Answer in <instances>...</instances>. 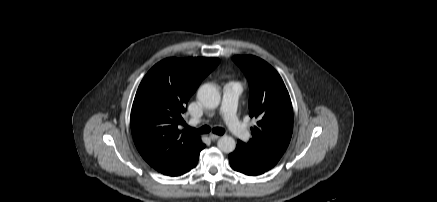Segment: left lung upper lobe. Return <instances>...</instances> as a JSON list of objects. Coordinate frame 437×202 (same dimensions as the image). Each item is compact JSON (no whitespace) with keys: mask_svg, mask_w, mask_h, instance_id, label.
Listing matches in <instances>:
<instances>
[{"mask_svg":"<svg viewBox=\"0 0 437 202\" xmlns=\"http://www.w3.org/2000/svg\"><path fill=\"white\" fill-rule=\"evenodd\" d=\"M233 61L245 73L250 86L249 115L258 119L253 138L243 145L264 162L275 166L286 151L293 131L289 93L278 72L264 60L248 55Z\"/></svg>","mask_w":437,"mask_h":202,"instance_id":"5c2ea615","label":"left lung upper lobe"}]
</instances>
